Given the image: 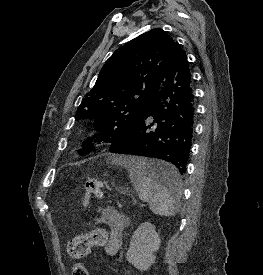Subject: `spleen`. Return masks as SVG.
I'll use <instances>...</instances> for the list:
<instances>
[{
  "label": "spleen",
  "mask_w": 263,
  "mask_h": 275,
  "mask_svg": "<svg viewBox=\"0 0 263 275\" xmlns=\"http://www.w3.org/2000/svg\"><path fill=\"white\" fill-rule=\"evenodd\" d=\"M119 163L128 169L130 180L139 198L149 203L153 213L169 217L178 212L177 202L181 195V184L178 183L168 190L148 174L152 167H170L168 163L153 162L142 157H130Z\"/></svg>",
  "instance_id": "3e777b00"
}]
</instances>
